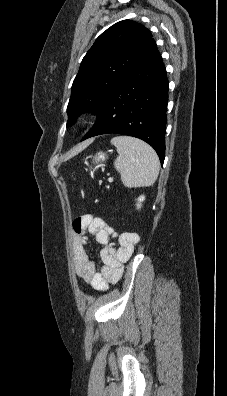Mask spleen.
Returning a JSON list of instances; mask_svg holds the SVG:
<instances>
[{
	"instance_id": "obj_1",
	"label": "spleen",
	"mask_w": 227,
	"mask_h": 396,
	"mask_svg": "<svg viewBox=\"0 0 227 396\" xmlns=\"http://www.w3.org/2000/svg\"><path fill=\"white\" fill-rule=\"evenodd\" d=\"M118 152L114 162L128 188L151 186L159 174L160 162L154 149L147 143L130 136H117L111 140Z\"/></svg>"
}]
</instances>
